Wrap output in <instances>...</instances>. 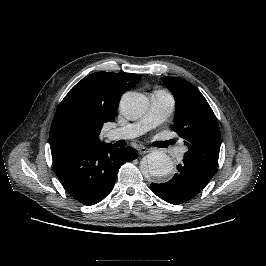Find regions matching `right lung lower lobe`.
<instances>
[{
  "mask_svg": "<svg viewBox=\"0 0 266 266\" xmlns=\"http://www.w3.org/2000/svg\"><path fill=\"white\" fill-rule=\"evenodd\" d=\"M137 158L131 147L102 144L52 153L55 173L66 191L84 205H94L112 190L119 168Z\"/></svg>",
  "mask_w": 266,
  "mask_h": 266,
  "instance_id": "1",
  "label": "right lung lower lobe"
}]
</instances>
